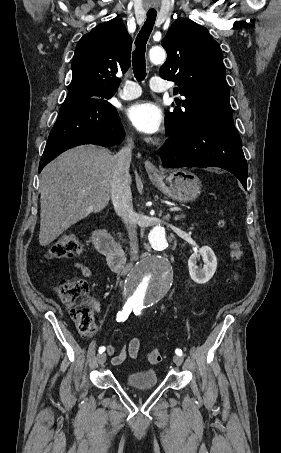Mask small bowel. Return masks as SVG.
I'll list each match as a JSON object with an SVG mask.
<instances>
[{
    "instance_id": "small-bowel-1",
    "label": "small bowel",
    "mask_w": 281,
    "mask_h": 453,
    "mask_svg": "<svg viewBox=\"0 0 281 453\" xmlns=\"http://www.w3.org/2000/svg\"><path fill=\"white\" fill-rule=\"evenodd\" d=\"M73 268L79 270L83 274V276L86 278H92V276H93L92 270L82 262H78V261L74 262ZM61 291H62V288L59 285H55L53 287V292L56 296H59ZM91 306L94 309V311L96 312V315L98 317H101L103 315V312L101 311V308L99 307L100 305L98 302H96V301L93 302ZM139 348H140V340L138 338L131 339V341L129 342V344L127 346L122 348V350L118 354L114 355L111 358V363L113 365H119V364L123 363L127 359V357L135 359L139 353ZM106 352L109 353L110 355H113L115 352V349L113 346H108L106 348Z\"/></svg>"
}]
</instances>
